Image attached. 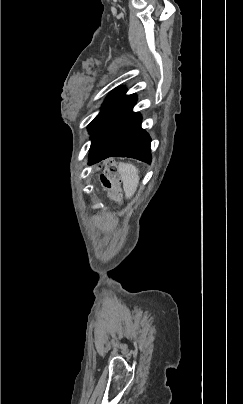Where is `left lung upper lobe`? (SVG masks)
Here are the masks:
<instances>
[{"label": "left lung upper lobe", "instance_id": "obj_1", "mask_svg": "<svg viewBox=\"0 0 243 404\" xmlns=\"http://www.w3.org/2000/svg\"><path fill=\"white\" fill-rule=\"evenodd\" d=\"M125 92L126 90L123 88H117L111 92V94L107 97L106 101L104 102L101 112L89 124L88 126L89 132L102 114H104L107 110H109L110 108L121 102L123 99L128 97V95H125Z\"/></svg>", "mask_w": 243, "mask_h": 404}]
</instances>
